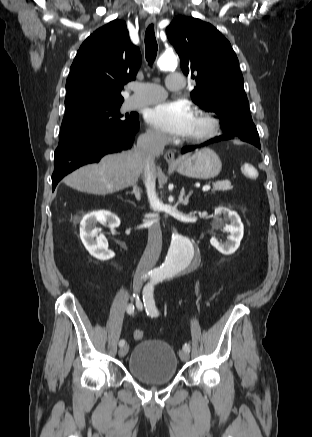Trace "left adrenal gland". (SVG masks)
Wrapping results in <instances>:
<instances>
[{"label": "left adrenal gland", "mask_w": 312, "mask_h": 437, "mask_svg": "<svg viewBox=\"0 0 312 437\" xmlns=\"http://www.w3.org/2000/svg\"><path fill=\"white\" fill-rule=\"evenodd\" d=\"M184 195H185V191H184V189H182L181 190V193H180V201L182 202V204L183 205H188V203H189V198L191 197V195H192V191H190L189 192V194L183 199V197H184Z\"/></svg>", "instance_id": "1"}]
</instances>
